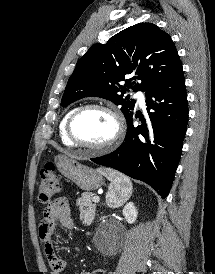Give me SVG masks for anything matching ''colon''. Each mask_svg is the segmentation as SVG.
Segmentation results:
<instances>
[{
	"label": "colon",
	"instance_id": "obj_1",
	"mask_svg": "<svg viewBox=\"0 0 215 274\" xmlns=\"http://www.w3.org/2000/svg\"><path fill=\"white\" fill-rule=\"evenodd\" d=\"M59 179L53 162H47L40 172L39 200L47 203L60 190Z\"/></svg>",
	"mask_w": 215,
	"mask_h": 274
}]
</instances>
